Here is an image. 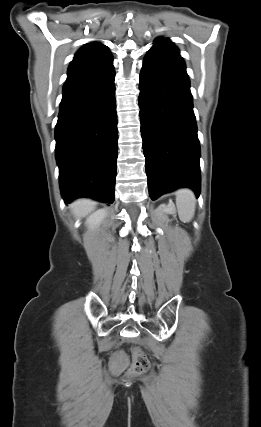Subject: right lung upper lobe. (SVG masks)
<instances>
[{"label": "right lung upper lobe", "instance_id": "1", "mask_svg": "<svg viewBox=\"0 0 261 427\" xmlns=\"http://www.w3.org/2000/svg\"><path fill=\"white\" fill-rule=\"evenodd\" d=\"M112 61V55L105 45L97 42L85 44L70 63L64 86L107 70L113 66Z\"/></svg>", "mask_w": 261, "mask_h": 427}]
</instances>
